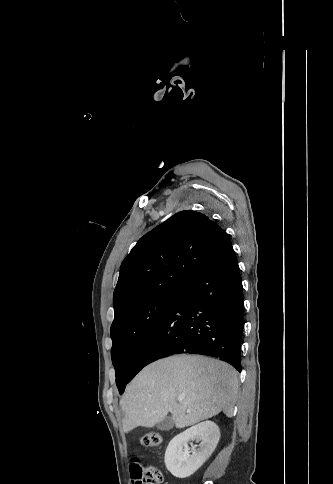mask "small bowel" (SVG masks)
Returning <instances> with one entry per match:
<instances>
[{
  "label": "small bowel",
  "mask_w": 333,
  "mask_h": 484,
  "mask_svg": "<svg viewBox=\"0 0 333 484\" xmlns=\"http://www.w3.org/2000/svg\"><path fill=\"white\" fill-rule=\"evenodd\" d=\"M142 468V461L139 457H133L130 460V471L132 475L133 484H138L139 473Z\"/></svg>",
  "instance_id": "small-bowel-1"
}]
</instances>
